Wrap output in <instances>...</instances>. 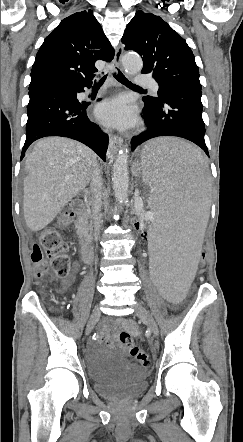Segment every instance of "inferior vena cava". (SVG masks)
Segmentation results:
<instances>
[{
	"label": "inferior vena cava",
	"mask_w": 243,
	"mask_h": 442,
	"mask_svg": "<svg viewBox=\"0 0 243 442\" xmlns=\"http://www.w3.org/2000/svg\"><path fill=\"white\" fill-rule=\"evenodd\" d=\"M102 177L101 170L98 165L94 166V170L91 177V192H92V215H91V226L95 239H98L101 228V218L99 215L100 207L102 204Z\"/></svg>",
	"instance_id": "inferior-vena-cava-1"
}]
</instances>
